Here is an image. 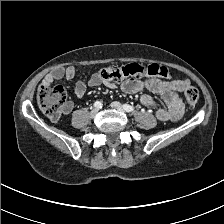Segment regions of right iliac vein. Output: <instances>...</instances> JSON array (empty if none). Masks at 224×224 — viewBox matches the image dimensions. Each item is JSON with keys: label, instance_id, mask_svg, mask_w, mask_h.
I'll list each match as a JSON object with an SVG mask.
<instances>
[{"label": "right iliac vein", "instance_id": "right-iliac-vein-1", "mask_svg": "<svg viewBox=\"0 0 224 224\" xmlns=\"http://www.w3.org/2000/svg\"><path fill=\"white\" fill-rule=\"evenodd\" d=\"M99 110L97 108L93 109L91 112H90V116L91 117H96L97 114H98Z\"/></svg>", "mask_w": 224, "mask_h": 224}]
</instances>
